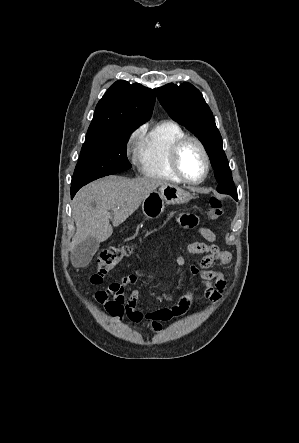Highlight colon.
Returning <instances> with one entry per match:
<instances>
[{
    "mask_svg": "<svg viewBox=\"0 0 299 443\" xmlns=\"http://www.w3.org/2000/svg\"><path fill=\"white\" fill-rule=\"evenodd\" d=\"M223 214V204L219 197L210 199L208 216L211 220L220 218ZM132 253V248L125 244L110 246L102 249L97 258V269L91 277L94 284L103 283L107 275L126 257Z\"/></svg>",
    "mask_w": 299,
    "mask_h": 443,
    "instance_id": "1",
    "label": "colon"
}]
</instances>
